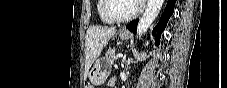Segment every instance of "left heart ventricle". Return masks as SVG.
<instances>
[{"label":"left heart ventricle","mask_w":227,"mask_h":88,"mask_svg":"<svg viewBox=\"0 0 227 88\" xmlns=\"http://www.w3.org/2000/svg\"><path fill=\"white\" fill-rule=\"evenodd\" d=\"M137 7L135 0H111L110 13L116 18L130 15Z\"/></svg>","instance_id":"obj_1"}]
</instances>
